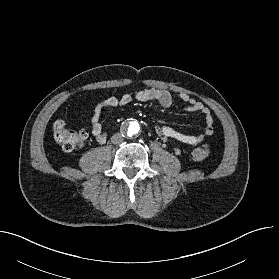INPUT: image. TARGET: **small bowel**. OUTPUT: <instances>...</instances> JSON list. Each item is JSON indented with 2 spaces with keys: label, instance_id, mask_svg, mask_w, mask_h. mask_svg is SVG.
<instances>
[{
  "label": "small bowel",
  "instance_id": "obj_1",
  "mask_svg": "<svg viewBox=\"0 0 279 279\" xmlns=\"http://www.w3.org/2000/svg\"><path fill=\"white\" fill-rule=\"evenodd\" d=\"M179 99L184 106V110L189 112H199L203 115L205 120L203 131L196 135H189L181 133L170 126H159L157 128V133L163 141L172 138L185 145L196 146L202 143L213 133V118L211 112L202 104V102L189 96L188 94L181 93L179 95ZM133 101H156L162 107L168 108L172 105L173 98L171 93L167 90L150 88L140 90L134 94H124L121 97L110 96L103 99L96 104L90 119L91 133L97 143L103 144L107 140V134L103 131L100 124V117L104 109L123 107L129 105ZM174 151L177 154L180 153V149L178 147H174Z\"/></svg>",
  "mask_w": 279,
  "mask_h": 279
}]
</instances>
